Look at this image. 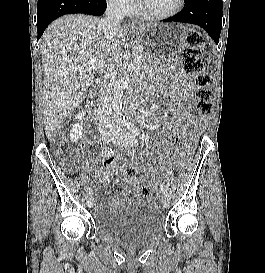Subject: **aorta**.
Wrapping results in <instances>:
<instances>
[{"instance_id": "762f6f07", "label": "aorta", "mask_w": 265, "mask_h": 273, "mask_svg": "<svg viewBox=\"0 0 265 273\" xmlns=\"http://www.w3.org/2000/svg\"><path fill=\"white\" fill-rule=\"evenodd\" d=\"M129 76L125 73L124 77H122L113 87L112 90V113L114 119L117 124H122L125 121V116L123 113V103L122 97L124 94V90L128 84Z\"/></svg>"}]
</instances>
